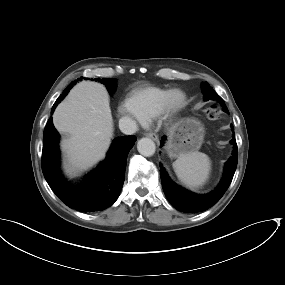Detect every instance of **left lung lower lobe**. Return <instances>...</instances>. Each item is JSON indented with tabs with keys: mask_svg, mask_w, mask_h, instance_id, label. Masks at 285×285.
Masks as SVG:
<instances>
[{
	"mask_svg": "<svg viewBox=\"0 0 285 285\" xmlns=\"http://www.w3.org/2000/svg\"><path fill=\"white\" fill-rule=\"evenodd\" d=\"M231 128L234 133L233 125H231ZM165 140L166 137L163 136L161 139V146H163ZM231 143L234 145V151L232 157L225 164L223 178L218 187L206 195L191 193L175 184L168 176L164 167L160 164V176L164 193L169 202L177 210L191 213L204 211L214 205L223 196L232 181L237 167L238 149L235 138L231 140Z\"/></svg>",
	"mask_w": 285,
	"mask_h": 285,
	"instance_id": "0a47b994",
	"label": "left lung lower lobe"
}]
</instances>
